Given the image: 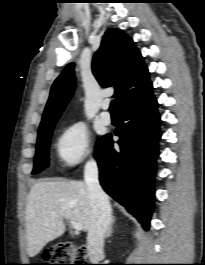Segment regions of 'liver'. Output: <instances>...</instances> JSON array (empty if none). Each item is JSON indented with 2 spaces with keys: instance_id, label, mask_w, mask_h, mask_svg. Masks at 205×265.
<instances>
[{
  "instance_id": "liver-1",
  "label": "liver",
  "mask_w": 205,
  "mask_h": 265,
  "mask_svg": "<svg viewBox=\"0 0 205 265\" xmlns=\"http://www.w3.org/2000/svg\"><path fill=\"white\" fill-rule=\"evenodd\" d=\"M64 220H74L88 231L91 205L86 182L44 180L30 189L26 204L27 252L36 256L65 232Z\"/></svg>"
}]
</instances>
